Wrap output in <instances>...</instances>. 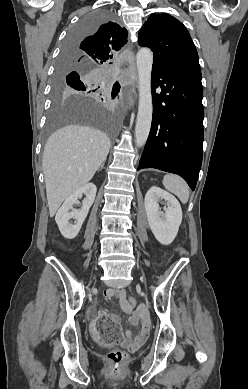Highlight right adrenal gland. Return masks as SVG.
Here are the masks:
<instances>
[{
	"label": "right adrenal gland",
	"mask_w": 248,
	"mask_h": 389,
	"mask_svg": "<svg viewBox=\"0 0 248 389\" xmlns=\"http://www.w3.org/2000/svg\"><path fill=\"white\" fill-rule=\"evenodd\" d=\"M104 166V162L100 165L99 170H102Z\"/></svg>",
	"instance_id": "2a0ac1e0"
}]
</instances>
